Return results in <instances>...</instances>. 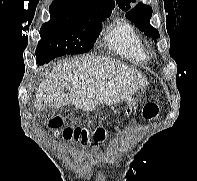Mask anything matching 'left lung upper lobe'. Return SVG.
<instances>
[{
    "mask_svg": "<svg viewBox=\"0 0 197 181\" xmlns=\"http://www.w3.org/2000/svg\"><path fill=\"white\" fill-rule=\"evenodd\" d=\"M116 2L123 11H127V19L133 22L139 30L153 39L159 38L158 30L150 25L152 16V8L150 6L139 3L135 7H131L130 3L136 2V0H116Z\"/></svg>",
    "mask_w": 197,
    "mask_h": 181,
    "instance_id": "5c2ea615",
    "label": "left lung upper lobe"
}]
</instances>
